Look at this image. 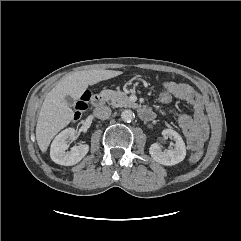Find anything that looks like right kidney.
<instances>
[{
  "label": "right kidney",
  "mask_w": 241,
  "mask_h": 241,
  "mask_svg": "<svg viewBox=\"0 0 241 241\" xmlns=\"http://www.w3.org/2000/svg\"><path fill=\"white\" fill-rule=\"evenodd\" d=\"M74 128H67L59 133L53 140L50 148L51 159L60 165L72 166L81 161L89 151V146L83 144L74 146L70 151L68 149L67 140L75 137Z\"/></svg>",
  "instance_id": "obj_1"
}]
</instances>
